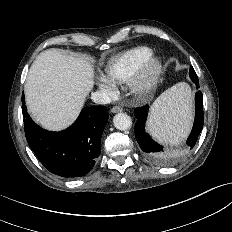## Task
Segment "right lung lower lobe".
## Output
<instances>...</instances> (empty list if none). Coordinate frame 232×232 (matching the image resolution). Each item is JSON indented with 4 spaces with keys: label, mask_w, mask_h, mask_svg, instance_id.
<instances>
[{
    "label": "right lung lower lobe",
    "mask_w": 232,
    "mask_h": 232,
    "mask_svg": "<svg viewBox=\"0 0 232 232\" xmlns=\"http://www.w3.org/2000/svg\"><path fill=\"white\" fill-rule=\"evenodd\" d=\"M22 94V112L27 142L51 173L72 178L86 175L100 155V141L109 113L104 106L84 108L66 130L50 132L33 122Z\"/></svg>",
    "instance_id": "right-lung-lower-lobe-1"
}]
</instances>
